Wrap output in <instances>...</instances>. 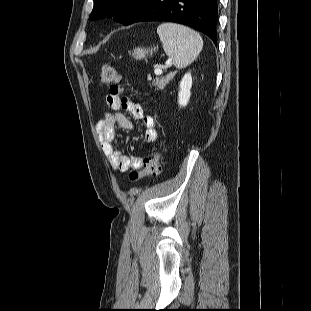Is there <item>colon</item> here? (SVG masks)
Masks as SVG:
<instances>
[{"instance_id":"obj_1","label":"colon","mask_w":311,"mask_h":311,"mask_svg":"<svg viewBox=\"0 0 311 311\" xmlns=\"http://www.w3.org/2000/svg\"><path fill=\"white\" fill-rule=\"evenodd\" d=\"M100 83L103 86H108L110 94L118 95L121 92V76L114 65L103 66L100 77ZM164 152L156 149L153 153L144 160L143 170H133L129 174V178L132 182L138 181L142 177L156 176L161 171V160Z\"/></svg>"}]
</instances>
